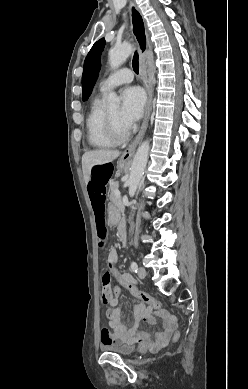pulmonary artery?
<instances>
[{"label": "pulmonary artery", "instance_id": "1", "mask_svg": "<svg viewBox=\"0 0 248 389\" xmlns=\"http://www.w3.org/2000/svg\"><path fill=\"white\" fill-rule=\"evenodd\" d=\"M133 79V73L128 68H122L109 75L100 84V92L105 93L121 84L129 83Z\"/></svg>", "mask_w": 248, "mask_h": 389}]
</instances>
